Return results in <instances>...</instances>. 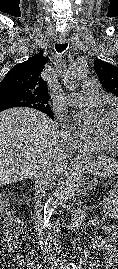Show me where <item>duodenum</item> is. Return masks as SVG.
<instances>
[{
  "label": "duodenum",
  "mask_w": 118,
  "mask_h": 269,
  "mask_svg": "<svg viewBox=\"0 0 118 269\" xmlns=\"http://www.w3.org/2000/svg\"><path fill=\"white\" fill-rule=\"evenodd\" d=\"M82 220H83V213L82 212L76 213L72 218V220L70 221L69 224L70 228L71 229L77 228L81 224Z\"/></svg>",
  "instance_id": "410a0bca"
}]
</instances>
